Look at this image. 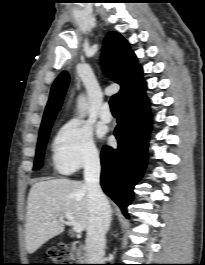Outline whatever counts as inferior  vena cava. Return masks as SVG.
<instances>
[{
  "instance_id": "inferior-vena-cava-1",
  "label": "inferior vena cava",
  "mask_w": 205,
  "mask_h": 265,
  "mask_svg": "<svg viewBox=\"0 0 205 265\" xmlns=\"http://www.w3.org/2000/svg\"><path fill=\"white\" fill-rule=\"evenodd\" d=\"M100 170L99 155H90L85 163L84 179L90 209L86 251L91 264H101L104 261L105 234L111 221V208L100 187Z\"/></svg>"
}]
</instances>
